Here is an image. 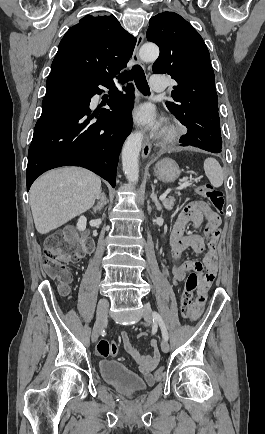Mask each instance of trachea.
<instances>
[{
	"label": "trachea",
	"mask_w": 265,
	"mask_h": 434,
	"mask_svg": "<svg viewBox=\"0 0 265 434\" xmlns=\"http://www.w3.org/2000/svg\"><path fill=\"white\" fill-rule=\"evenodd\" d=\"M133 79L135 81L136 87L141 93L147 95L150 92L144 71L140 65H134L132 70L126 73L122 77L121 83H123L126 80H133Z\"/></svg>",
	"instance_id": "3493384b"
}]
</instances>
